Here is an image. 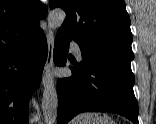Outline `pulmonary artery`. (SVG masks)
<instances>
[{
    "mask_svg": "<svg viewBox=\"0 0 156 124\" xmlns=\"http://www.w3.org/2000/svg\"><path fill=\"white\" fill-rule=\"evenodd\" d=\"M71 49L74 53V55L78 58L81 59L82 53L79 45L76 42H71Z\"/></svg>",
    "mask_w": 156,
    "mask_h": 124,
    "instance_id": "e3ab8cb5",
    "label": "pulmonary artery"
}]
</instances>
